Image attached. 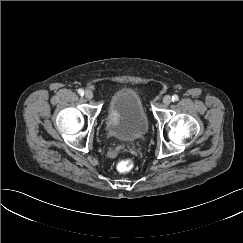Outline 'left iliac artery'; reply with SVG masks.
<instances>
[{
  "instance_id": "44dca946",
  "label": "left iliac artery",
  "mask_w": 243,
  "mask_h": 243,
  "mask_svg": "<svg viewBox=\"0 0 243 243\" xmlns=\"http://www.w3.org/2000/svg\"><path fill=\"white\" fill-rule=\"evenodd\" d=\"M179 100V97H178V95H173L172 96V101H178Z\"/></svg>"
}]
</instances>
